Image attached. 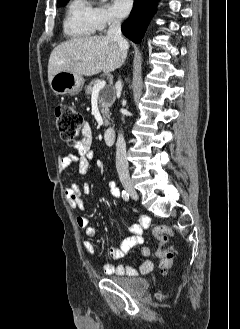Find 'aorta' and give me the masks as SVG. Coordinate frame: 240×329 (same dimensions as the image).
Listing matches in <instances>:
<instances>
[{"label":"aorta","instance_id":"1","mask_svg":"<svg viewBox=\"0 0 240 329\" xmlns=\"http://www.w3.org/2000/svg\"><path fill=\"white\" fill-rule=\"evenodd\" d=\"M102 2H105L106 0H101Z\"/></svg>","mask_w":240,"mask_h":329}]
</instances>
